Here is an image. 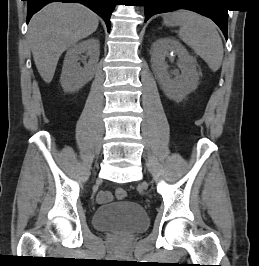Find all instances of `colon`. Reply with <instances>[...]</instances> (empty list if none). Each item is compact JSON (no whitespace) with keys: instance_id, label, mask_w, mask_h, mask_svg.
Instances as JSON below:
<instances>
[{"instance_id":"obj_1","label":"colon","mask_w":259,"mask_h":266,"mask_svg":"<svg viewBox=\"0 0 259 266\" xmlns=\"http://www.w3.org/2000/svg\"><path fill=\"white\" fill-rule=\"evenodd\" d=\"M115 196H116V198H117L118 200H123V199L126 198V196H127V192H126V190L123 189V188H118V189H116V191H115Z\"/></svg>"}]
</instances>
